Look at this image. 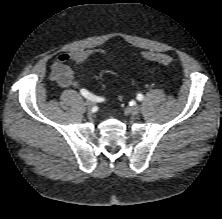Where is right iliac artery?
<instances>
[{
	"instance_id": "1",
	"label": "right iliac artery",
	"mask_w": 222,
	"mask_h": 219,
	"mask_svg": "<svg viewBox=\"0 0 222 219\" xmlns=\"http://www.w3.org/2000/svg\"><path fill=\"white\" fill-rule=\"evenodd\" d=\"M80 93L85 98L93 100V101H103V99H104V98L97 97V96L93 95L92 93L88 92L86 89H81Z\"/></svg>"
}]
</instances>
